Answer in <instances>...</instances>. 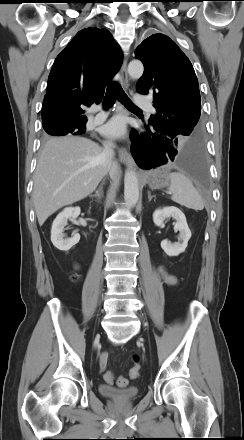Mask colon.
<instances>
[{"label":"colon","mask_w":244,"mask_h":440,"mask_svg":"<svg viewBox=\"0 0 244 440\" xmlns=\"http://www.w3.org/2000/svg\"><path fill=\"white\" fill-rule=\"evenodd\" d=\"M133 360L135 362V366L130 371V377L132 379H136L139 376V357L135 355ZM104 380L107 384L112 385L115 381L113 373L111 371H106L104 374ZM116 384L118 387L124 388L128 385V379L124 376H120L117 378Z\"/></svg>","instance_id":"colon-1"}]
</instances>
